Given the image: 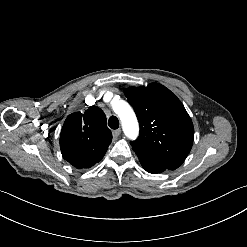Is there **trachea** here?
Segmentation results:
<instances>
[{
	"label": "trachea",
	"instance_id": "obj_1",
	"mask_svg": "<svg viewBox=\"0 0 247 247\" xmlns=\"http://www.w3.org/2000/svg\"><path fill=\"white\" fill-rule=\"evenodd\" d=\"M108 125L112 129H117L119 127V120L117 119V117L111 116L108 121Z\"/></svg>",
	"mask_w": 247,
	"mask_h": 247
}]
</instances>
